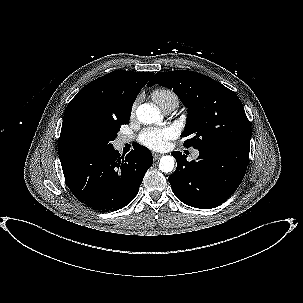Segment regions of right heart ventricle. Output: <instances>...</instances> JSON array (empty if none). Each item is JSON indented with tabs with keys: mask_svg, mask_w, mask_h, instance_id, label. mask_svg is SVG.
<instances>
[{
	"mask_svg": "<svg viewBox=\"0 0 303 303\" xmlns=\"http://www.w3.org/2000/svg\"><path fill=\"white\" fill-rule=\"evenodd\" d=\"M152 99L163 109L168 106L177 107L179 98L175 92L167 88H159L152 92Z\"/></svg>",
	"mask_w": 303,
	"mask_h": 303,
	"instance_id": "obj_1",
	"label": "right heart ventricle"
}]
</instances>
